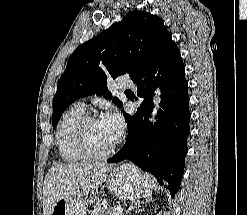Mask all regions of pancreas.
<instances>
[{
    "instance_id": "pancreas-1",
    "label": "pancreas",
    "mask_w": 247,
    "mask_h": 215,
    "mask_svg": "<svg viewBox=\"0 0 247 215\" xmlns=\"http://www.w3.org/2000/svg\"><path fill=\"white\" fill-rule=\"evenodd\" d=\"M90 213L91 215H116L115 209L108 207L104 202L95 204Z\"/></svg>"
}]
</instances>
